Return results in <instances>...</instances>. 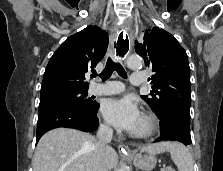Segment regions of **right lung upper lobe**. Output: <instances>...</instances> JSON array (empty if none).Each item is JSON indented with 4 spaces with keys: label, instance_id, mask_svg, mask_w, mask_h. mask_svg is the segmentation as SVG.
Wrapping results in <instances>:
<instances>
[{
    "label": "right lung upper lobe",
    "instance_id": "cb5924a9",
    "mask_svg": "<svg viewBox=\"0 0 223 171\" xmlns=\"http://www.w3.org/2000/svg\"><path fill=\"white\" fill-rule=\"evenodd\" d=\"M106 31L88 26L68 37L51 57L43 77L40 98L88 90L85 73L94 70L108 46Z\"/></svg>",
    "mask_w": 223,
    "mask_h": 171
}]
</instances>
